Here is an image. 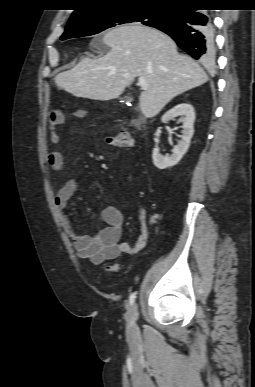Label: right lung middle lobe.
Here are the masks:
<instances>
[{
	"label": "right lung middle lobe",
	"mask_w": 255,
	"mask_h": 387,
	"mask_svg": "<svg viewBox=\"0 0 255 387\" xmlns=\"http://www.w3.org/2000/svg\"><path fill=\"white\" fill-rule=\"evenodd\" d=\"M171 7L122 6L101 11L84 18L68 22L61 40L98 34L108 28L131 22H141L151 27L166 23Z\"/></svg>",
	"instance_id": "dd1d6c3e"
}]
</instances>
